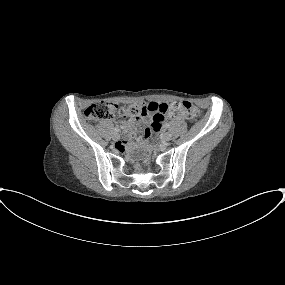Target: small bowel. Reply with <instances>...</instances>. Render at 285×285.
I'll use <instances>...</instances> for the list:
<instances>
[{"mask_svg": "<svg viewBox=\"0 0 285 285\" xmlns=\"http://www.w3.org/2000/svg\"><path fill=\"white\" fill-rule=\"evenodd\" d=\"M147 107V113L151 115V126L153 130H159L162 128L164 120H163V108L167 106L164 103H157L154 101H150L147 103H143ZM179 120L185 118V116L177 117ZM147 120L145 116H136L130 119L127 123L122 125V129L125 131V137L123 139V145L121 146L122 150H126L128 147L134 144V141L137 137L135 128L137 126L146 124ZM150 130L146 132L149 134Z\"/></svg>", "mask_w": 285, "mask_h": 285, "instance_id": "1", "label": "small bowel"}]
</instances>
